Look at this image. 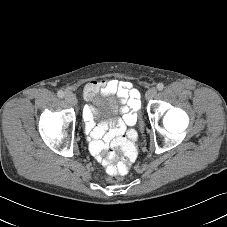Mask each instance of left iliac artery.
Wrapping results in <instances>:
<instances>
[{"instance_id": "obj_1", "label": "left iliac artery", "mask_w": 227, "mask_h": 227, "mask_svg": "<svg viewBox=\"0 0 227 227\" xmlns=\"http://www.w3.org/2000/svg\"><path fill=\"white\" fill-rule=\"evenodd\" d=\"M157 89H158L159 91L163 90V89H164V84H163V83H158Z\"/></svg>"}]
</instances>
